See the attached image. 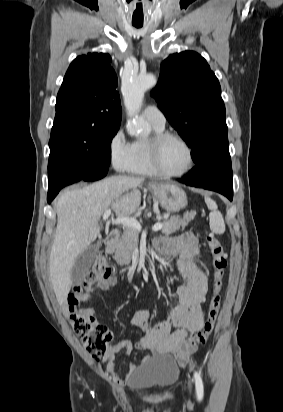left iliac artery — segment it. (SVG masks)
<instances>
[{"label":"left iliac artery","mask_w":283,"mask_h":412,"mask_svg":"<svg viewBox=\"0 0 283 412\" xmlns=\"http://www.w3.org/2000/svg\"><path fill=\"white\" fill-rule=\"evenodd\" d=\"M194 378H195V387H196V393L198 399L203 398V393H204V388H203V382L200 374L198 372H194Z\"/></svg>","instance_id":"left-iliac-artery-1"}]
</instances>
